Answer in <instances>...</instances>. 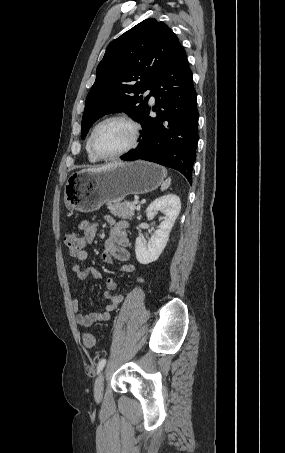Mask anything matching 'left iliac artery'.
<instances>
[{
	"mask_svg": "<svg viewBox=\"0 0 285 453\" xmlns=\"http://www.w3.org/2000/svg\"><path fill=\"white\" fill-rule=\"evenodd\" d=\"M106 364V359H101L97 366V372L99 373Z\"/></svg>",
	"mask_w": 285,
	"mask_h": 453,
	"instance_id": "left-iliac-artery-1",
	"label": "left iliac artery"
}]
</instances>
